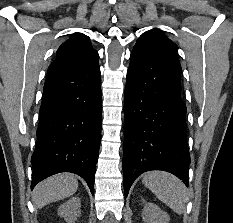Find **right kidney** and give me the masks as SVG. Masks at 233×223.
<instances>
[{
	"mask_svg": "<svg viewBox=\"0 0 233 223\" xmlns=\"http://www.w3.org/2000/svg\"><path fill=\"white\" fill-rule=\"evenodd\" d=\"M81 213V203L79 197H70L65 203L58 207V215L64 217L67 223H76Z\"/></svg>",
	"mask_w": 233,
	"mask_h": 223,
	"instance_id": "ca27d5eb",
	"label": "right kidney"
}]
</instances>
